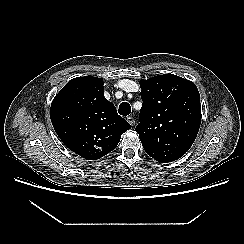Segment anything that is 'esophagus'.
Returning <instances> with one entry per match:
<instances>
[{
  "instance_id": "1",
  "label": "esophagus",
  "mask_w": 244,
  "mask_h": 244,
  "mask_svg": "<svg viewBox=\"0 0 244 244\" xmlns=\"http://www.w3.org/2000/svg\"><path fill=\"white\" fill-rule=\"evenodd\" d=\"M127 122L131 125L134 126L135 125V120L133 117L129 116L127 117Z\"/></svg>"
}]
</instances>
